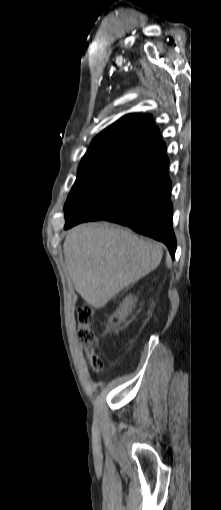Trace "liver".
<instances>
[{
  "label": "liver",
  "instance_id": "1",
  "mask_svg": "<svg viewBox=\"0 0 221 510\" xmlns=\"http://www.w3.org/2000/svg\"><path fill=\"white\" fill-rule=\"evenodd\" d=\"M66 266L79 295L94 308L157 268L162 245L111 224H82L64 241Z\"/></svg>",
  "mask_w": 221,
  "mask_h": 510
}]
</instances>
